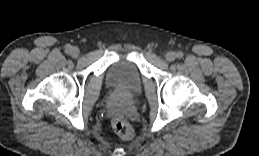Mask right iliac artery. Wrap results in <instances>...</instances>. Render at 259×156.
Listing matches in <instances>:
<instances>
[{
    "mask_svg": "<svg viewBox=\"0 0 259 156\" xmlns=\"http://www.w3.org/2000/svg\"><path fill=\"white\" fill-rule=\"evenodd\" d=\"M71 46L70 45H66V47H65V52L66 53H69L70 52V50H71Z\"/></svg>",
    "mask_w": 259,
    "mask_h": 156,
    "instance_id": "82829eb1",
    "label": "right iliac artery"
}]
</instances>
